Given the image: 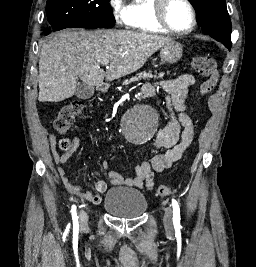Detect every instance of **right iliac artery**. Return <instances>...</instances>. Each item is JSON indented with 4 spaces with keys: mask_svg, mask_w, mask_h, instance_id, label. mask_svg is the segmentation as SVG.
<instances>
[{
    "mask_svg": "<svg viewBox=\"0 0 256 267\" xmlns=\"http://www.w3.org/2000/svg\"><path fill=\"white\" fill-rule=\"evenodd\" d=\"M71 213H72L73 222H78V216H77L75 205L72 206Z\"/></svg>",
    "mask_w": 256,
    "mask_h": 267,
    "instance_id": "82829eb1",
    "label": "right iliac artery"
}]
</instances>
